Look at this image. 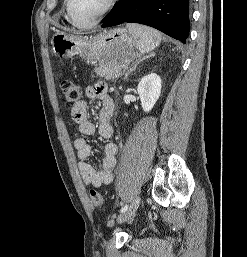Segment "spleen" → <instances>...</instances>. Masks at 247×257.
<instances>
[{
	"instance_id": "1",
	"label": "spleen",
	"mask_w": 247,
	"mask_h": 257,
	"mask_svg": "<svg viewBox=\"0 0 247 257\" xmlns=\"http://www.w3.org/2000/svg\"><path fill=\"white\" fill-rule=\"evenodd\" d=\"M127 29L133 34L136 46L141 53H148L155 49L161 42V34L151 28L139 24H127Z\"/></svg>"
}]
</instances>
